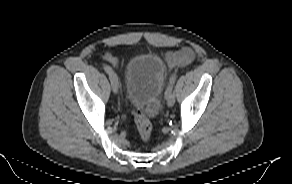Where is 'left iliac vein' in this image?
<instances>
[{
  "label": "left iliac vein",
  "instance_id": "1",
  "mask_svg": "<svg viewBox=\"0 0 292 184\" xmlns=\"http://www.w3.org/2000/svg\"><path fill=\"white\" fill-rule=\"evenodd\" d=\"M165 97L167 100L168 107H173L175 104V94H174L173 90H170L168 95Z\"/></svg>",
  "mask_w": 292,
  "mask_h": 184
}]
</instances>
